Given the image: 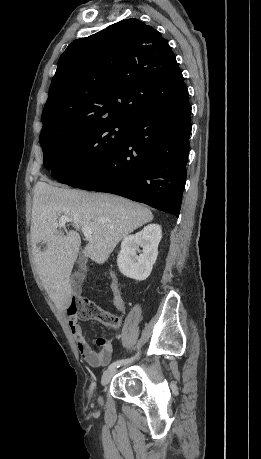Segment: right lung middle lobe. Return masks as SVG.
Here are the masks:
<instances>
[{"label": "right lung middle lobe", "mask_w": 261, "mask_h": 459, "mask_svg": "<svg viewBox=\"0 0 261 459\" xmlns=\"http://www.w3.org/2000/svg\"><path fill=\"white\" fill-rule=\"evenodd\" d=\"M131 121L109 120L87 128H58L41 133L43 165L59 182L70 184L114 155L125 143Z\"/></svg>", "instance_id": "dd1d6c3e"}]
</instances>
